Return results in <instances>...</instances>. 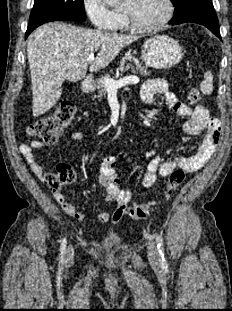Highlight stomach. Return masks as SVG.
I'll return each instance as SVG.
<instances>
[{"mask_svg":"<svg viewBox=\"0 0 232 311\" xmlns=\"http://www.w3.org/2000/svg\"><path fill=\"white\" fill-rule=\"evenodd\" d=\"M183 57L179 43L167 36L157 35L146 40L142 47V59L154 69H166L177 65Z\"/></svg>","mask_w":232,"mask_h":311,"instance_id":"1","label":"stomach"}]
</instances>
